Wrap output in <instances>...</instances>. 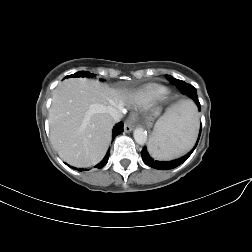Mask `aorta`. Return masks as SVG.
<instances>
[{"label":"aorta","mask_w":252,"mask_h":252,"mask_svg":"<svg viewBox=\"0 0 252 252\" xmlns=\"http://www.w3.org/2000/svg\"><path fill=\"white\" fill-rule=\"evenodd\" d=\"M133 136H134L135 141L139 145H144L147 141V132L143 130L142 128L135 129Z\"/></svg>","instance_id":"762f6f07"}]
</instances>
